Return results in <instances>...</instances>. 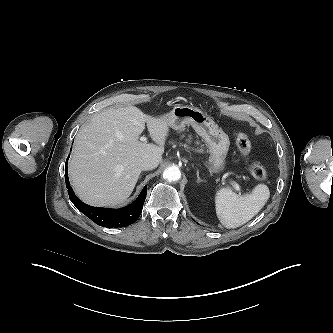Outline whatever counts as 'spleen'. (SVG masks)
Returning <instances> with one entry per match:
<instances>
[{
  "mask_svg": "<svg viewBox=\"0 0 333 333\" xmlns=\"http://www.w3.org/2000/svg\"><path fill=\"white\" fill-rule=\"evenodd\" d=\"M270 197L269 188L258 184L250 194L237 195L229 188L216 192V214L226 228H237L251 220Z\"/></svg>",
  "mask_w": 333,
  "mask_h": 333,
  "instance_id": "spleen-1",
  "label": "spleen"
}]
</instances>
